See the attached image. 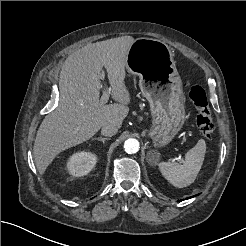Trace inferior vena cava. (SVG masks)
<instances>
[{
	"label": "inferior vena cava",
	"mask_w": 246,
	"mask_h": 246,
	"mask_svg": "<svg viewBox=\"0 0 246 246\" xmlns=\"http://www.w3.org/2000/svg\"><path fill=\"white\" fill-rule=\"evenodd\" d=\"M117 132L118 128L110 124L104 125L101 129V134L108 137L114 136Z\"/></svg>",
	"instance_id": "inferior-vena-cava-1"
}]
</instances>
